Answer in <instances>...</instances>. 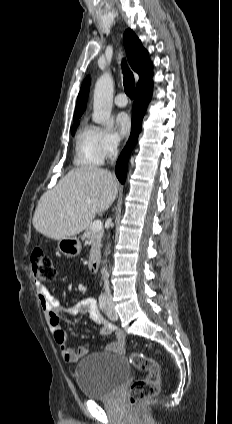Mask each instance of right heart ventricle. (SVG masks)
Wrapping results in <instances>:
<instances>
[{
    "instance_id": "1",
    "label": "right heart ventricle",
    "mask_w": 232,
    "mask_h": 424,
    "mask_svg": "<svg viewBox=\"0 0 232 424\" xmlns=\"http://www.w3.org/2000/svg\"><path fill=\"white\" fill-rule=\"evenodd\" d=\"M100 130L83 123L75 136L74 164L80 167L98 166L103 163L104 156L99 146Z\"/></svg>"
}]
</instances>
